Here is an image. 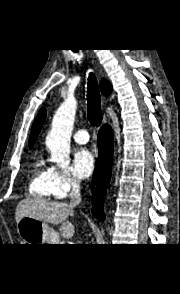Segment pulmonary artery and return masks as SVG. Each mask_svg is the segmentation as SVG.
I'll use <instances>...</instances> for the list:
<instances>
[{"label": "pulmonary artery", "instance_id": "pulmonary-artery-1", "mask_svg": "<svg viewBox=\"0 0 180 294\" xmlns=\"http://www.w3.org/2000/svg\"><path fill=\"white\" fill-rule=\"evenodd\" d=\"M74 140L79 144H85L89 141V134L86 130H78L74 134Z\"/></svg>", "mask_w": 180, "mask_h": 294}]
</instances>
